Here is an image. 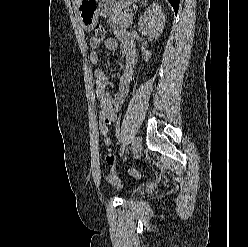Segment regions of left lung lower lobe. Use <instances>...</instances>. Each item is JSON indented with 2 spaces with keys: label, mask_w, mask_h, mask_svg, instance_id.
Instances as JSON below:
<instances>
[{
  "label": "left lung lower lobe",
  "mask_w": 248,
  "mask_h": 247,
  "mask_svg": "<svg viewBox=\"0 0 248 247\" xmlns=\"http://www.w3.org/2000/svg\"><path fill=\"white\" fill-rule=\"evenodd\" d=\"M170 4L173 6L175 13L177 14L179 8L180 0H168Z\"/></svg>",
  "instance_id": "0a47b994"
}]
</instances>
